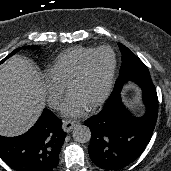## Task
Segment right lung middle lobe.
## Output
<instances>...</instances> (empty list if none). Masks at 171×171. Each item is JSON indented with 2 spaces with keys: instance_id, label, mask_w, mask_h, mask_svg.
I'll return each instance as SVG.
<instances>
[{
  "instance_id": "dd1d6c3e",
  "label": "right lung middle lobe",
  "mask_w": 171,
  "mask_h": 171,
  "mask_svg": "<svg viewBox=\"0 0 171 171\" xmlns=\"http://www.w3.org/2000/svg\"><path fill=\"white\" fill-rule=\"evenodd\" d=\"M33 48H37V47H33ZM21 48H18L16 50H14L13 52H11L6 58H4L2 61H0V63H3L6 59H8L9 57H11L12 55H14L16 52H18Z\"/></svg>"
}]
</instances>
